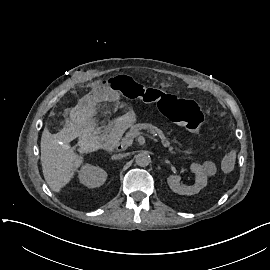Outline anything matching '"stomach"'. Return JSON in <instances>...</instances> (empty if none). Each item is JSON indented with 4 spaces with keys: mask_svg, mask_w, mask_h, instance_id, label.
Wrapping results in <instances>:
<instances>
[{
    "mask_svg": "<svg viewBox=\"0 0 270 270\" xmlns=\"http://www.w3.org/2000/svg\"><path fill=\"white\" fill-rule=\"evenodd\" d=\"M135 121H136V115H135V113H134L133 111H131V112H130L129 118H128L126 121L122 122L121 124H122L124 127H129V126H131L133 123H135Z\"/></svg>",
    "mask_w": 270,
    "mask_h": 270,
    "instance_id": "1",
    "label": "stomach"
}]
</instances>
